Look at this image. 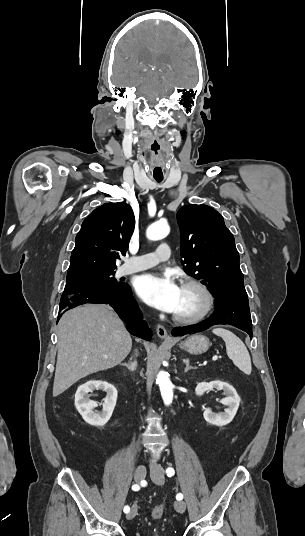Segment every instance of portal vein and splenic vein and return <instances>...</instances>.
I'll return each mask as SVG.
<instances>
[{
    "instance_id": "18ae733b",
    "label": "portal vein and splenic vein",
    "mask_w": 305,
    "mask_h": 536,
    "mask_svg": "<svg viewBox=\"0 0 305 536\" xmlns=\"http://www.w3.org/2000/svg\"><path fill=\"white\" fill-rule=\"evenodd\" d=\"M212 360L215 362V360H218V356H213Z\"/></svg>"
}]
</instances>
